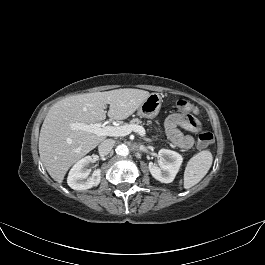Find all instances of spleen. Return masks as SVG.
I'll return each mask as SVG.
<instances>
[{
    "mask_svg": "<svg viewBox=\"0 0 265 265\" xmlns=\"http://www.w3.org/2000/svg\"><path fill=\"white\" fill-rule=\"evenodd\" d=\"M213 162L210 151L204 150L194 155L187 163L184 172L183 186L189 189L199 183L209 171ZM181 184V181H180Z\"/></svg>",
    "mask_w": 265,
    "mask_h": 265,
    "instance_id": "1",
    "label": "spleen"
}]
</instances>
